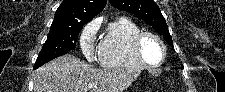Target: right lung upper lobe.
<instances>
[{"instance_id": "1", "label": "right lung upper lobe", "mask_w": 225, "mask_h": 92, "mask_svg": "<svg viewBox=\"0 0 225 92\" xmlns=\"http://www.w3.org/2000/svg\"><path fill=\"white\" fill-rule=\"evenodd\" d=\"M107 0H63L51 26H68L73 22H89L105 7Z\"/></svg>"}]
</instances>
